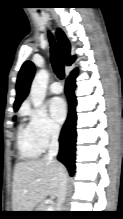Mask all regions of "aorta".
<instances>
[{"mask_svg":"<svg viewBox=\"0 0 123 219\" xmlns=\"http://www.w3.org/2000/svg\"><path fill=\"white\" fill-rule=\"evenodd\" d=\"M48 81V71L41 69L36 73L30 88V97L35 108H39L44 102Z\"/></svg>","mask_w":123,"mask_h":219,"instance_id":"1","label":"aorta"}]
</instances>
